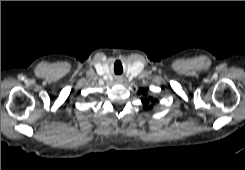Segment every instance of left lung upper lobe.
I'll return each instance as SVG.
<instances>
[{"instance_id":"obj_1","label":"left lung upper lobe","mask_w":245,"mask_h":170,"mask_svg":"<svg viewBox=\"0 0 245 170\" xmlns=\"http://www.w3.org/2000/svg\"><path fill=\"white\" fill-rule=\"evenodd\" d=\"M142 89H139L138 93H142ZM152 100V99H151ZM142 102L144 104V106L147 108V110L149 109V104H150V101L148 99H142Z\"/></svg>"}]
</instances>
